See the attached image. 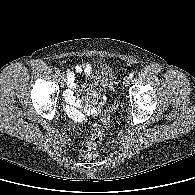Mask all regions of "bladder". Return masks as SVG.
Masks as SVG:
<instances>
[{"mask_svg": "<svg viewBox=\"0 0 195 195\" xmlns=\"http://www.w3.org/2000/svg\"><path fill=\"white\" fill-rule=\"evenodd\" d=\"M116 85V77L111 67L104 66L101 73L96 76L95 81L91 83L94 93H100L103 90H111Z\"/></svg>", "mask_w": 195, "mask_h": 195, "instance_id": "obj_1", "label": "bladder"}]
</instances>
